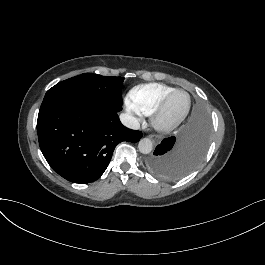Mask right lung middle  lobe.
Returning a JSON list of instances; mask_svg holds the SVG:
<instances>
[{
  "label": "right lung middle lobe",
  "instance_id": "right-lung-middle-lobe-1",
  "mask_svg": "<svg viewBox=\"0 0 265 265\" xmlns=\"http://www.w3.org/2000/svg\"><path fill=\"white\" fill-rule=\"evenodd\" d=\"M123 80V77L81 74L50 88L41 107L55 100L72 99L81 101L99 111L117 113L122 110Z\"/></svg>",
  "mask_w": 265,
  "mask_h": 265
}]
</instances>
